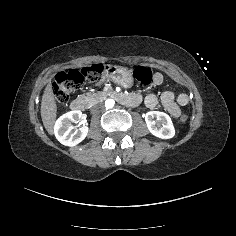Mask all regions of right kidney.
<instances>
[{"mask_svg":"<svg viewBox=\"0 0 236 236\" xmlns=\"http://www.w3.org/2000/svg\"><path fill=\"white\" fill-rule=\"evenodd\" d=\"M82 117L81 111H71L61 116L55 124V136L65 146L73 147L81 143L89 132L88 126H80L72 132V122H79Z\"/></svg>","mask_w":236,"mask_h":236,"instance_id":"ca27d5eb","label":"right kidney"}]
</instances>
